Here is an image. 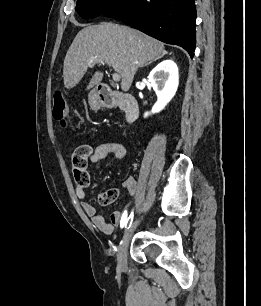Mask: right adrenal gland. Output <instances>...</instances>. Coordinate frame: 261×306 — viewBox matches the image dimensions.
<instances>
[{"mask_svg": "<svg viewBox=\"0 0 261 306\" xmlns=\"http://www.w3.org/2000/svg\"><path fill=\"white\" fill-rule=\"evenodd\" d=\"M166 54V53H165ZM159 58H157V59H155V60H152V61H150V62H148V63H146V64H144L143 66H141V67H145V66H148V65H150V64H152L154 61H156V60H158Z\"/></svg>", "mask_w": 261, "mask_h": 306, "instance_id": "right-adrenal-gland-1", "label": "right adrenal gland"}]
</instances>
